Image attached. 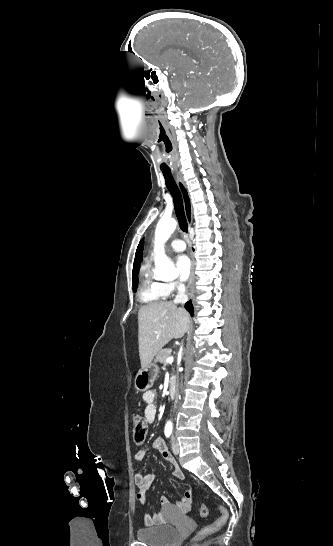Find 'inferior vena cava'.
Masks as SVG:
<instances>
[{
    "label": "inferior vena cava",
    "mask_w": 333,
    "mask_h": 546,
    "mask_svg": "<svg viewBox=\"0 0 333 546\" xmlns=\"http://www.w3.org/2000/svg\"><path fill=\"white\" fill-rule=\"evenodd\" d=\"M177 295L175 297L174 303H186L188 301V296L186 294V288L183 283L177 284ZM178 402V394L176 395L175 404Z\"/></svg>",
    "instance_id": "inferior-vena-cava-1"
}]
</instances>
